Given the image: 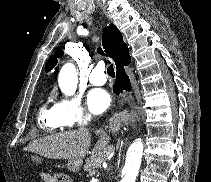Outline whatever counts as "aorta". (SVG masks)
Here are the masks:
<instances>
[{
  "instance_id": "aorta-1",
  "label": "aorta",
  "mask_w": 211,
  "mask_h": 182,
  "mask_svg": "<svg viewBox=\"0 0 211 182\" xmlns=\"http://www.w3.org/2000/svg\"><path fill=\"white\" fill-rule=\"evenodd\" d=\"M77 71L72 63L65 64L60 70L58 84L61 91L67 95H74L77 88ZM143 155V143L141 140L134 141L128 148L126 162L124 166L125 175L120 182H135L141 159Z\"/></svg>"
}]
</instances>
